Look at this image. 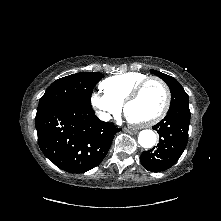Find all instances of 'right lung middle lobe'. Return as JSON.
<instances>
[{"instance_id":"1","label":"right lung middle lobe","mask_w":221,"mask_h":221,"mask_svg":"<svg viewBox=\"0 0 221 221\" xmlns=\"http://www.w3.org/2000/svg\"><path fill=\"white\" fill-rule=\"evenodd\" d=\"M103 77L99 72H79L54 81L40 98L37 114L64 103L91 107L93 88Z\"/></svg>"}]
</instances>
